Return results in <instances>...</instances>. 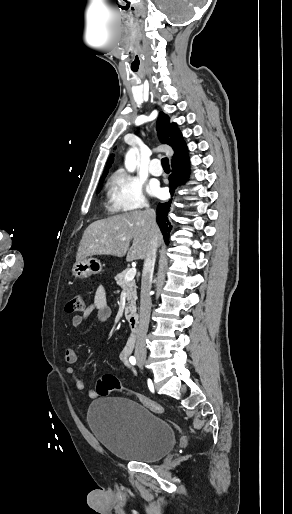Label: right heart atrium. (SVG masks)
Listing matches in <instances>:
<instances>
[{
	"label": "right heart atrium",
	"instance_id": "d8ad5b80",
	"mask_svg": "<svg viewBox=\"0 0 292 514\" xmlns=\"http://www.w3.org/2000/svg\"><path fill=\"white\" fill-rule=\"evenodd\" d=\"M109 197L120 209H142L146 206L144 181L124 171L114 174L109 184Z\"/></svg>",
	"mask_w": 292,
	"mask_h": 514
}]
</instances>
